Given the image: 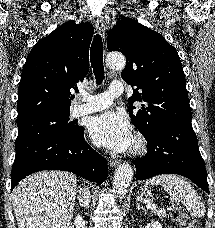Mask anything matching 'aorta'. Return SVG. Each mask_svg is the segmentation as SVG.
<instances>
[{
    "label": "aorta",
    "instance_id": "aorta-1",
    "mask_svg": "<svg viewBox=\"0 0 215 228\" xmlns=\"http://www.w3.org/2000/svg\"><path fill=\"white\" fill-rule=\"evenodd\" d=\"M106 62H108V66L109 68H112V70H123L126 66L125 56L116 54V52L108 54ZM133 176V168H131L129 164H121V166L115 170L113 186L119 198L120 196H125L126 192H128L127 188H129Z\"/></svg>",
    "mask_w": 215,
    "mask_h": 228
}]
</instances>
